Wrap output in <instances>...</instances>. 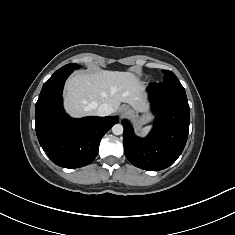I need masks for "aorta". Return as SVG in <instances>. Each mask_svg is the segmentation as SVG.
Here are the masks:
<instances>
[{"mask_svg": "<svg viewBox=\"0 0 235 235\" xmlns=\"http://www.w3.org/2000/svg\"><path fill=\"white\" fill-rule=\"evenodd\" d=\"M112 132L114 135H121L123 133V126L121 124H115L112 127Z\"/></svg>", "mask_w": 235, "mask_h": 235, "instance_id": "762f6f07", "label": "aorta"}]
</instances>
